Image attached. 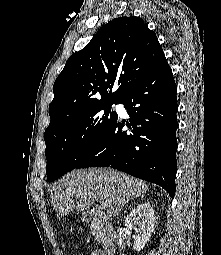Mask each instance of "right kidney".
Here are the masks:
<instances>
[{"mask_svg": "<svg viewBox=\"0 0 221 255\" xmlns=\"http://www.w3.org/2000/svg\"><path fill=\"white\" fill-rule=\"evenodd\" d=\"M136 225H138L139 228L136 230L137 234L134 237L133 249L140 251L150 240L155 227L154 209L149 202L139 204L127 215L125 219V226L127 229L131 230L135 228Z\"/></svg>", "mask_w": 221, "mask_h": 255, "instance_id": "1", "label": "right kidney"}]
</instances>
